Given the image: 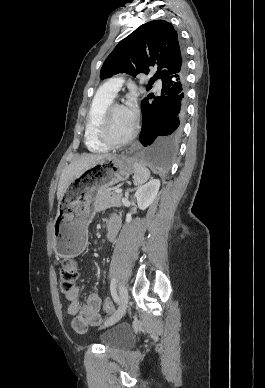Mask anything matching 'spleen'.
<instances>
[{
    "label": "spleen",
    "instance_id": "1",
    "mask_svg": "<svg viewBox=\"0 0 265 388\" xmlns=\"http://www.w3.org/2000/svg\"><path fill=\"white\" fill-rule=\"evenodd\" d=\"M133 168H134L133 184L134 186H142V184H145V182L149 180L150 172L148 168H145V166H143V164H137V162H134Z\"/></svg>",
    "mask_w": 265,
    "mask_h": 388
}]
</instances>
